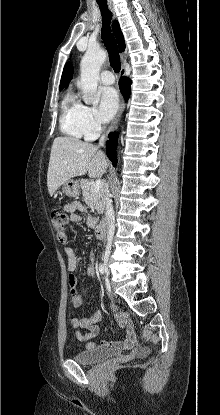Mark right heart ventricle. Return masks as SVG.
<instances>
[{"instance_id": "obj_1", "label": "right heart ventricle", "mask_w": 220, "mask_h": 415, "mask_svg": "<svg viewBox=\"0 0 220 415\" xmlns=\"http://www.w3.org/2000/svg\"><path fill=\"white\" fill-rule=\"evenodd\" d=\"M59 125L61 132L67 136L91 139L85 131L83 105L73 92H68L62 101Z\"/></svg>"}]
</instances>
